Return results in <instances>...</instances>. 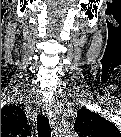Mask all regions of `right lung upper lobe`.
<instances>
[{"label":"right lung upper lobe","instance_id":"1","mask_svg":"<svg viewBox=\"0 0 121 137\" xmlns=\"http://www.w3.org/2000/svg\"><path fill=\"white\" fill-rule=\"evenodd\" d=\"M30 130L24 111L18 106L1 109V135H26Z\"/></svg>","mask_w":121,"mask_h":137}]
</instances>
